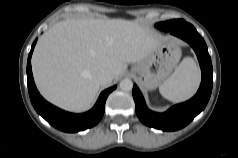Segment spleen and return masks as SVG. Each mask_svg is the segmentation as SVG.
Instances as JSON below:
<instances>
[{
  "mask_svg": "<svg viewBox=\"0 0 238 158\" xmlns=\"http://www.w3.org/2000/svg\"><path fill=\"white\" fill-rule=\"evenodd\" d=\"M200 83V71L191 57H186L173 74L160 86V94L169 101L182 102L191 98Z\"/></svg>",
  "mask_w": 238,
  "mask_h": 158,
  "instance_id": "spleen-1",
  "label": "spleen"
}]
</instances>
